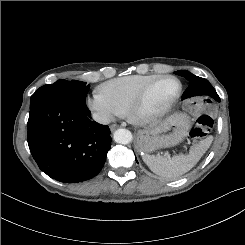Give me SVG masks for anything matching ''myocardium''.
<instances>
[{
  "instance_id": "myocardium-1",
  "label": "myocardium",
  "mask_w": 245,
  "mask_h": 245,
  "mask_svg": "<svg viewBox=\"0 0 245 245\" xmlns=\"http://www.w3.org/2000/svg\"><path fill=\"white\" fill-rule=\"evenodd\" d=\"M165 80H175L178 83V90L176 94L169 101V103L166 104L161 109H158L156 111H146L145 105L149 94L159 83ZM182 89H183L182 83L180 79L177 78L176 76L164 75L158 77L157 79L153 80L152 82L144 86L142 90L138 93V95L135 97L127 112L129 119L132 122L140 125L150 124L159 120L160 118L165 116L168 112H170V110L177 103L179 97L181 96Z\"/></svg>"
}]
</instances>
